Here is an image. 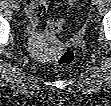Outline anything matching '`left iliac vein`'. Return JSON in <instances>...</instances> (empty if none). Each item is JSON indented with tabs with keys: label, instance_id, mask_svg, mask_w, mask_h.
<instances>
[{
	"label": "left iliac vein",
	"instance_id": "obj_1",
	"mask_svg": "<svg viewBox=\"0 0 111 106\" xmlns=\"http://www.w3.org/2000/svg\"><path fill=\"white\" fill-rule=\"evenodd\" d=\"M98 0H92L93 4H97Z\"/></svg>",
	"mask_w": 111,
	"mask_h": 106
}]
</instances>
